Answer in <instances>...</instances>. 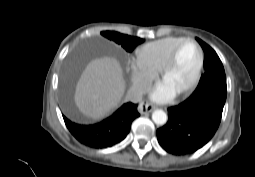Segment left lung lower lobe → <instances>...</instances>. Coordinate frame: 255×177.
Wrapping results in <instances>:
<instances>
[{"instance_id":"obj_1","label":"left lung lower lobe","mask_w":255,"mask_h":177,"mask_svg":"<svg viewBox=\"0 0 255 177\" xmlns=\"http://www.w3.org/2000/svg\"><path fill=\"white\" fill-rule=\"evenodd\" d=\"M227 94L209 90L192 94L169 107L168 122L157 130L161 147L173 155L192 154L214 136L222 118Z\"/></svg>"}]
</instances>
